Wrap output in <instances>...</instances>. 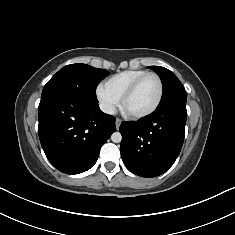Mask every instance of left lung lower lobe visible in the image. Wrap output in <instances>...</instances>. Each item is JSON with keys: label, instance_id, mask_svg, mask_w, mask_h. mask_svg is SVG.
<instances>
[{"label": "left lung lower lobe", "instance_id": "obj_1", "mask_svg": "<svg viewBox=\"0 0 235 235\" xmlns=\"http://www.w3.org/2000/svg\"><path fill=\"white\" fill-rule=\"evenodd\" d=\"M186 117V104L173 103L138 121H123L121 156L126 168L142 177L166 172L181 151Z\"/></svg>", "mask_w": 235, "mask_h": 235}]
</instances>
